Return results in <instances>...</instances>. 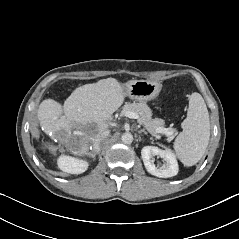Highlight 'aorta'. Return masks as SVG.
<instances>
[{
	"instance_id": "aorta-1",
	"label": "aorta",
	"mask_w": 239,
	"mask_h": 239,
	"mask_svg": "<svg viewBox=\"0 0 239 239\" xmlns=\"http://www.w3.org/2000/svg\"><path fill=\"white\" fill-rule=\"evenodd\" d=\"M121 140L124 144H131L133 141V135L129 132L123 133Z\"/></svg>"
}]
</instances>
